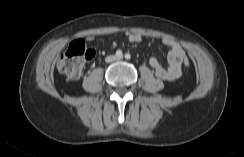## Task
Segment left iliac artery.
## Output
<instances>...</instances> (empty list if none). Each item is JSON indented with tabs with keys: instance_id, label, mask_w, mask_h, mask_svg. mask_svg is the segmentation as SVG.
Listing matches in <instances>:
<instances>
[{
	"instance_id": "44dca946",
	"label": "left iliac artery",
	"mask_w": 244,
	"mask_h": 157,
	"mask_svg": "<svg viewBox=\"0 0 244 157\" xmlns=\"http://www.w3.org/2000/svg\"><path fill=\"white\" fill-rule=\"evenodd\" d=\"M125 58H126L127 60H129V59L131 58V55H130L129 53H126V54H125Z\"/></svg>"
}]
</instances>
